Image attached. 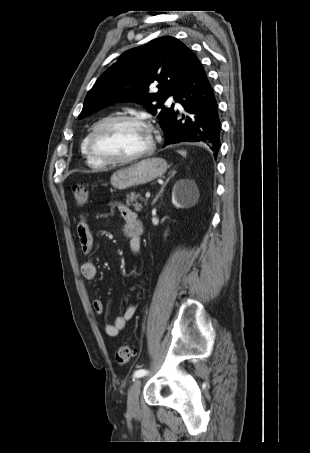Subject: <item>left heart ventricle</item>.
Masks as SVG:
<instances>
[{"mask_svg": "<svg viewBox=\"0 0 310 453\" xmlns=\"http://www.w3.org/2000/svg\"><path fill=\"white\" fill-rule=\"evenodd\" d=\"M148 131L137 124L119 122L101 131L96 138L99 152L113 158L132 156L148 147Z\"/></svg>", "mask_w": 310, "mask_h": 453, "instance_id": "1", "label": "left heart ventricle"}]
</instances>
